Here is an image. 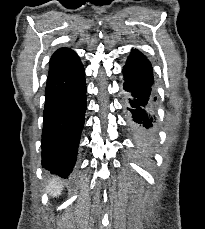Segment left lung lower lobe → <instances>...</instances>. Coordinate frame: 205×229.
I'll use <instances>...</instances> for the list:
<instances>
[{
	"instance_id": "obj_1",
	"label": "left lung lower lobe",
	"mask_w": 205,
	"mask_h": 229,
	"mask_svg": "<svg viewBox=\"0 0 205 229\" xmlns=\"http://www.w3.org/2000/svg\"><path fill=\"white\" fill-rule=\"evenodd\" d=\"M123 104L129 129L143 152H149L156 135L153 69L147 57L132 49L122 70Z\"/></svg>"
}]
</instances>
